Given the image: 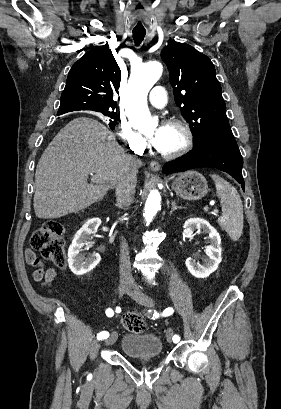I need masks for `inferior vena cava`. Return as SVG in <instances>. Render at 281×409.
Masks as SVG:
<instances>
[{
    "label": "inferior vena cava",
    "mask_w": 281,
    "mask_h": 409,
    "mask_svg": "<svg viewBox=\"0 0 281 409\" xmlns=\"http://www.w3.org/2000/svg\"><path fill=\"white\" fill-rule=\"evenodd\" d=\"M136 162H139L138 158H133V156H131V158H127L125 164H123L124 172L121 174V178L116 184V194L121 200H130L135 192L137 178L136 174H134L133 168H136ZM120 245V281L134 283V279L131 275L128 245L124 237H121Z\"/></svg>",
    "instance_id": "1"
}]
</instances>
